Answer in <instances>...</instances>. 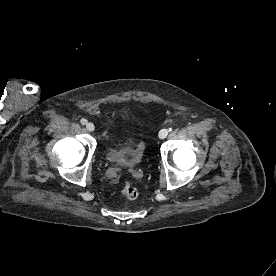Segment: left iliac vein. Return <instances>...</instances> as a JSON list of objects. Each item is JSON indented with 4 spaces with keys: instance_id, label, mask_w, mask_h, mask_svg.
<instances>
[{
    "instance_id": "4c4485c4",
    "label": "left iliac vein",
    "mask_w": 276,
    "mask_h": 276,
    "mask_svg": "<svg viewBox=\"0 0 276 276\" xmlns=\"http://www.w3.org/2000/svg\"><path fill=\"white\" fill-rule=\"evenodd\" d=\"M168 133H169L168 129H165V128L161 129L160 132H159V138L160 139L166 138Z\"/></svg>"
}]
</instances>
